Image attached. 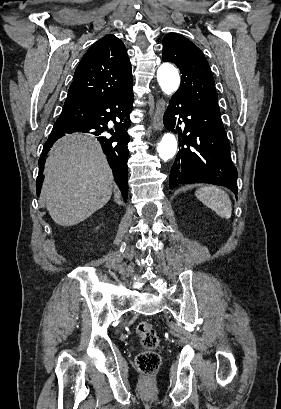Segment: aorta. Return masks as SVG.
Returning <instances> with one entry per match:
<instances>
[{"instance_id": "762f6f07", "label": "aorta", "mask_w": 281, "mask_h": 409, "mask_svg": "<svg viewBox=\"0 0 281 409\" xmlns=\"http://www.w3.org/2000/svg\"><path fill=\"white\" fill-rule=\"evenodd\" d=\"M157 80L162 91L167 95L174 93L180 84V77L177 69L169 63H164L158 68ZM157 151L163 161L172 158L177 151V140L175 136L172 133L164 134L158 145Z\"/></svg>"}]
</instances>
